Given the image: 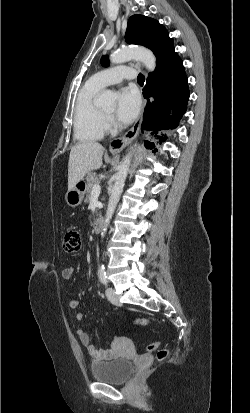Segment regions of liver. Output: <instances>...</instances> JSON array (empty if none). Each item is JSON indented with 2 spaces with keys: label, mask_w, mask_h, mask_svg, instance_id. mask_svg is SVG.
Returning <instances> with one entry per match:
<instances>
[{
  "label": "liver",
  "mask_w": 250,
  "mask_h": 413,
  "mask_svg": "<svg viewBox=\"0 0 250 413\" xmlns=\"http://www.w3.org/2000/svg\"><path fill=\"white\" fill-rule=\"evenodd\" d=\"M104 147L95 141L79 143L71 148L68 161V190L83 179L86 173L102 166Z\"/></svg>",
  "instance_id": "obj_1"
}]
</instances>
